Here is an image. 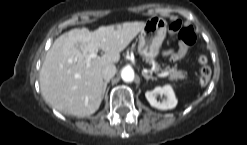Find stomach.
I'll return each instance as SVG.
<instances>
[{
  "label": "stomach",
  "mask_w": 247,
  "mask_h": 145,
  "mask_svg": "<svg viewBox=\"0 0 247 145\" xmlns=\"http://www.w3.org/2000/svg\"><path fill=\"white\" fill-rule=\"evenodd\" d=\"M167 22L161 17H151L140 31L138 52L146 62L155 60L166 37Z\"/></svg>",
  "instance_id": "obj_1"
}]
</instances>
